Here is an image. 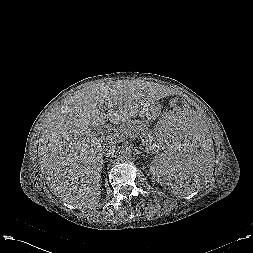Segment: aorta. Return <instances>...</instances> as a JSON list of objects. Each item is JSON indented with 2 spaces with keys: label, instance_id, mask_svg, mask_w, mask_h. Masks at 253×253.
<instances>
[{
  "label": "aorta",
  "instance_id": "1",
  "mask_svg": "<svg viewBox=\"0 0 253 253\" xmlns=\"http://www.w3.org/2000/svg\"><path fill=\"white\" fill-rule=\"evenodd\" d=\"M118 158L122 161H128L132 158V151L127 147H123L118 151Z\"/></svg>",
  "mask_w": 253,
  "mask_h": 253
}]
</instances>
